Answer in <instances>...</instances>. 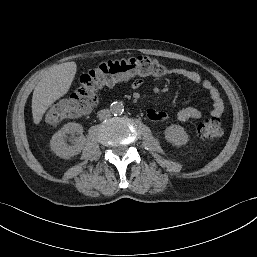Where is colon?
<instances>
[{
	"label": "colon",
	"mask_w": 257,
	"mask_h": 257,
	"mask_svg": "<svg viewBox=\"0 0 257 257\" xmlns=\"http://www.w3.org/2000/svg\"><path fill=\"white\" fill-rule=\"evenodd\" d=\"M164 72L161 62L150 56H136L128 59L106 61L88 70L69 100L50 108L45 120L57 123L67 118L88 112L97 103L98 90L117 82L138 77L160 76ZM198 134L203 139H217L223 134L219 118H205L198 125Z\"/></svg>",
	"instance_id": "5ec220e1"
}]
</instances>
